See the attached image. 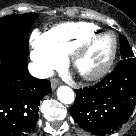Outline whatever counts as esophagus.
<instances>
[{
    "mask_svg": "<svg viewBox=\"0 0 136 136\" xmlns=\"http://www.w3.org/2000/svg\"><path fill=\"white\" fill-rule=\"evenodd\" d=\"M59 85V81L55 78L51 79V88L52 90H55L57 86Z\"/></svg>",
    "mask_w": 136,
    "mask_h": 136,
    "instance_id": "34e87169",
    "label": "esophagus"
}]
</instances>
